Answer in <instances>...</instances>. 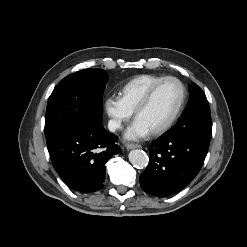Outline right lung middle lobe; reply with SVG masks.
Listing matches in <instances>:
<instances>
[{"mask_svg": "<svg viewBox=\"0 0 247 247\" xmlns=\"http://www.w3.org/2000/svg\"><path fill=\"white\" fill-rule=\"evenodd\" d=\"M108 74L98 68L84 69L62 79L49 97L45 135L102 123V96Z\"/></svg>", "mask_w": 247, "mask_h": 247, "instance_id": "dd1d6c3e", "label": "right lung middle lobe"}]
</instances>
